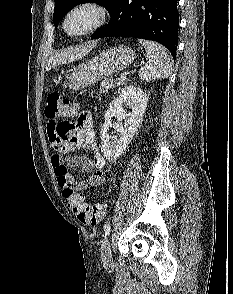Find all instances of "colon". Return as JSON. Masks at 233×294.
Returning <instances> with one entry per match:
<instances>
[{
	"instance_id": "5ec220e1",
	"label": "colon",
	"mask_w": 233,
	"mask_h": 294,
	"mask_svg": "<svg viewBox=\"0 0 233 294\" xmlns=\"http://www.w3.org/2000/svg\"><path fill=\"white\" fill-rule=\"evenodd\" d=\"M78 103L70 98L61 97L58 93H50L47 97L45 114L50 117H74L78 113ZM63 196L69 209L77 216L78 220L88 226H96L101 222L106 213V204L89 205L84 196L65 188Z\"/></svg>"
}]
</instances>
